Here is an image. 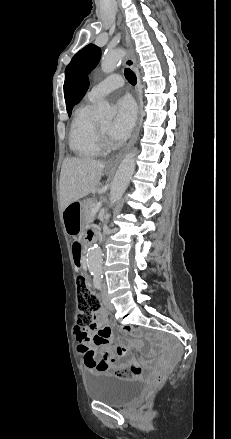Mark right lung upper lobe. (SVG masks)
<instances>
[{
    "label": "right lung upper lobe",
    "mask_w": 231,
    "mask_h": 439,
    "mask_svg": "<svg viewBox=\"0 0 231 439\" xmlns=\"http://www.w3.org/2000/svg\"><path fill=\"white\" fill-rule=\"evenodd\" d=\"M88 86H89V82H88V80H86V82L84 83V85L82 86V88L80 89V91L76 97L75 103H78L81 100L83 95L86 93Z\"/></svg>",
    "instance_id": "obj_1"
}]
</instances>
